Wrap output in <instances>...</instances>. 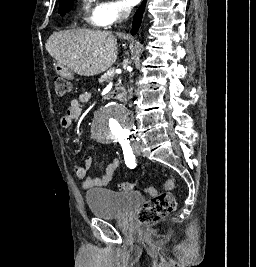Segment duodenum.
I'll use <instances>...</instances> for the list:
<instances>
[{"label": "duodenum", "mask_w": 256, "mask_h": 267, "mask_svg": "<svg viewBox=\"0 0 256 267\" xmlns=\"http://www.w3.org/2000/svg\"><path fill=\"white\" fill-rule=\"evenodd\" d=\"M56 72L60 75V79H73V74H71V70H69L68 66H56ZM111 101H118V96H111Z\"/></svg>", "instance_id": "duodenum-1"}]
</instances>
